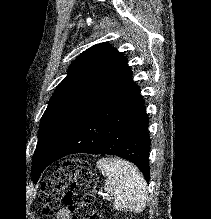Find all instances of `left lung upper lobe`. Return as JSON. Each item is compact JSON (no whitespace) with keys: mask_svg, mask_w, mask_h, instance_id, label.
<instances>
[{"mask_svg":"<svg viewBox=\"0 0 211 219\" xmlns=\"http://www.w3.org/2000/svg\"><path fill=\"white\" fill-rule=\"evenodd\" d=\"M128 69L126 58L108 43L96 44L80 54L42 116L34 153L44 150L50 157L56 154L81 117ZM41 172L32 159L34 182Z\"/></svg>","mask_w":211,"mask_h":219,"instance_id":"obj_1","label":"left lung upper lobe"}]
</instances>
